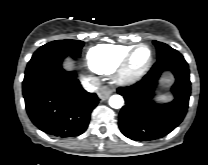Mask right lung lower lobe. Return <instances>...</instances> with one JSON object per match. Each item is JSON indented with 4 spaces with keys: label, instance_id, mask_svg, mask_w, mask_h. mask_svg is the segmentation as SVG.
<instances>
[{
    "label": "right lung lower lobe",
    "instance_id": "obj_1",
    "mask_svg": "<svg viewBox=\"0 0 208 165\" xmlns=\"http://www.w3.org/2000/svg\"><path fill=\"white\" fill-rule=\"evenodd\" d=\"M67 51L49 52L31 59L23 80L27 113L40 130L54 136L71 137L85 132L99 98L85 91L75 72L62 68Z\"/></svg>",
    "mask_w": 208,
    "mask_h": 165
}]
</instances>
